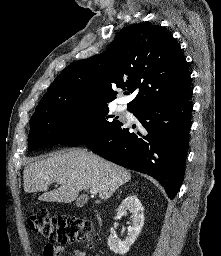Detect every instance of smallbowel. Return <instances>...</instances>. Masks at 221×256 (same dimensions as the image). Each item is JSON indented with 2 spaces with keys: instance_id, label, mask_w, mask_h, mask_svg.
<instances>
[{
  "instance_id": "small-bowel-1",
  "label": "small bowel",
  "mask_w": 221,
  "mask_h": 256,
  "mask_svg": "<svg viewBox=\"0 0 221 256\" xmlns=\"http://www.w3.org/2000/svg\"><path fill=\"white\" fill-rule=\"evenodd\" d=\"M44 256H56V255L48 253L46 252V250H44ZM73 256H85V252L80 249H75L73 251Z\"/></svg>"
}]
</instances>
